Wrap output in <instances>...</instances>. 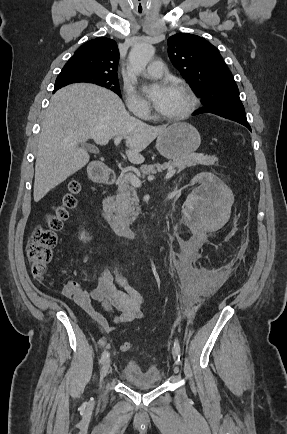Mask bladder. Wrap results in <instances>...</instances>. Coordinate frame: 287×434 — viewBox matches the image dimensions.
<instances>
[{"label": "bladder", "mask_w": 287, "mask_h": 434, "mask_svg": "<svg viewBox=\"0 0 287 434\" xmlns=\"http://www.w3.org/2000/svg\"><path fill=\"white\" fill-rule=\"evenodd\" d=\"M120 376L126 385L137 388L155 387L163 381V375L156 364L141 366L135 361H129Z\"/></svg>", "instance_id": "31cf9c89"}]
</instances>
